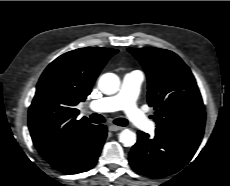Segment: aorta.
I'll return each instance as SVG.
<instances>
[{"label": "aorta", "mask_w": 230, "mask_h": 186, "mask_svg": "<svg viewBox=\"0 0 230 186\" xmlns=\"http://www.w3.org/2000/svg\"><path fill=\"white\" fill-rule=\"evenodd\" d=\"M98 86L104 94L112 95L119 90L120 79L114 73H105L100 77ZM119 141L125 147H131L136 143V134L129 129H125L120 132Z\"/></svg>", "instance_id": "762f6f07"}]
</instances>
